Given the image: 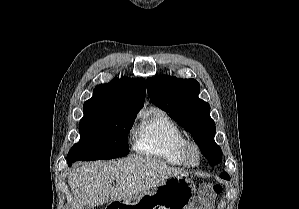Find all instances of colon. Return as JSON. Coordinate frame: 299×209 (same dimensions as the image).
<instances>
[{
  "mask_svg": "<svg viewBox=\"0 0 299 209\" xmlns=\"http://www.w3.org/2000/svg\"><path fill=\"white\" fill-rule=\"evenodd\" d=\"M223 187L216 183H202L199 187V203L194 209H212L215 199L222 193Z\"/></svg>",
  "mask_w": 299,
  "mask_h": 209,
  "instance_id": "colon-1",
  "label": "colon"
}]
</instances>
